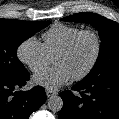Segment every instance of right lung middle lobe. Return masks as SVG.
Here are the masks:
<instances>
[{"instance_id":"right-lung-middle-lobe-1","label":"right lung middle lobe","mask_w":119,"mask_h":119,"mask_svg":"<svg viewBox=\"0 0 119 119\" xmlns=\"http://www.w3.org/2000/svg\"><path fill=\"white\" fill-rule=\"evenodd\" d=\"M49 24L50 21L0 19V78L18 76L26 71L17 57V48Z\"/></svg>"}]
</instances>
